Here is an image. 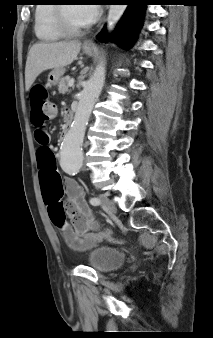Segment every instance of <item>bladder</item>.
<instances>
[{
	"mask_svg": "<svg viewBox=\"0 0 213 338\" xmlns=\"http://www.w3.org/2000/svg\"><path fill=\"white\" fill-rule=\"evenodd\" d=\"M125 258L122 250L104 246L93 249L89 254L88 262L97 273L105 274L119 268Z\"/></svg>",
	"mask_w": 213,
	"mask_h": 338,
	"instance_id": "1",
	"label": "bladder"
}]
</instances>
